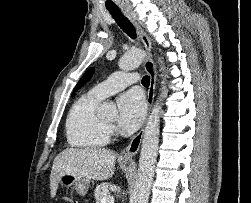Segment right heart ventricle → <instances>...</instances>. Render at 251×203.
<instances>
[{"label":"right heart ventricle","instance_id":"1","mask_svg":"<svg viewBox=\"0 0 251 203\" xmlns=\"http://www.w3.org/2000/svg\"><path fill=\"white\" fill-rule=\"evenodd\" d=\"M100 101L87 93L73 104L66 121V134L70 145L83 149H96L107 145L109 128L97 115Z\"/></svg>","mask_w":251,"mask_h":203}]
</instances>
